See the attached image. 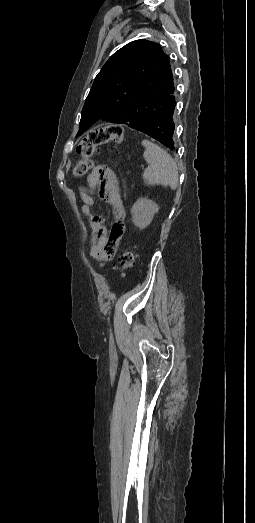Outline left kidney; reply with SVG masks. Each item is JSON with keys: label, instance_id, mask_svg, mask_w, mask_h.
<instances>
[{"label": "left kidney", "instance_id": "obj_1", "mask_svg": "<svg viewBox=\"0 0 255 523\" xmlns=\"http://www.w3.org/2000/svg\"><path fill=\"white\" fill-rule=\"evenodd\" d=\"M159 208L152 200L147 198H139L132 206L131 214L132 220L140 230H144L146 226H149L153 220L154 214H157Z\"/></svg>", "mask_w": 255, "mask_h": 523}]
</instances>
